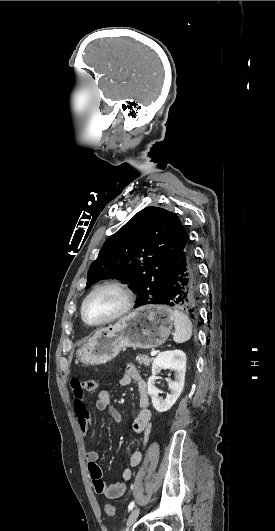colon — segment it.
Returning a JSON list of instances; mask_svg holds the SVG:
<instances>
[{
    "instance_id": "colon-1",
    "label": "colon",
    "mask_w": 275,
    "mask_h": 531,
    "mask_svg": "<svg viewBox=\"0 0 275 531\" xmlns=\"http://www.w3.org/2000/svg\"><path fill=\"white\" fill-rule=\"evenodd\" d=\"M83 390L84 392H89V393H95L97 392L98 390V379L97 378H90V379H86L83 383ZM107 512L109 514H114L115 513V509L112 505L108 504L107 505Z\"/></svg>"
}]
</instances>
